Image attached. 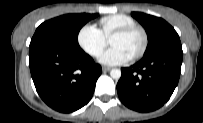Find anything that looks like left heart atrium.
<instances>
[{"mask_svg":"<svg viewBox=\"0 0 203 123\" xmlns=\"http://www.w3.org/2000/svg\"><path fill=\"white\" fill-rule=\"evenodd\" d=\"M131 56L117 46H111L100 57V62L107 65H120L128 62Z\"/></svg>","mask_w":203,"mask_h":123,"instance_id":"left-heart-atrium-1","label":"left heart atrium"}]
</instances>
